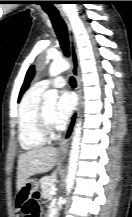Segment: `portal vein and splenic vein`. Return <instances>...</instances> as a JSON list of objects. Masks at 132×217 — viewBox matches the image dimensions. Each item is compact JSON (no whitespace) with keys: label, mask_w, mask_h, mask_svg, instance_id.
Here are the masks:
<instances>
[{"label":"portal vein and splenic vein","mask_w":132,"mask_h":217,"mask_svg":"<svg viewBox=\"0 0 132 217\" xmlns=\"http://www.w3.org/2000/svg\"><path fill=\"white\" fill-rule=\"evenodd\" d=\"M56 194V190L53 188L51 191H50V195H55Z\"/></svg>","instance_id":"portal-vein-and-splenic-vein-1"}]
</instances>
